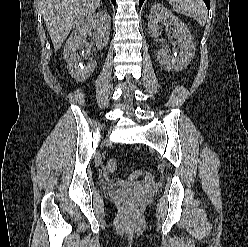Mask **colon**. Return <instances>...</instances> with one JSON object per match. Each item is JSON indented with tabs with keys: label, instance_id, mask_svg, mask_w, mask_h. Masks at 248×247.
<instances>
[{
	"label": "colon",
	"instance_id": "obj_1",
	"mask_svg": "<svg viewBox=\"0 0 248 247\" xmlns=\"http://www.w3.org/2000/svg\"><path fill=\"white\" fill-rule=\"evenodd\" d=\"M117 167H118V162H117L116 159L111 158V159L108 160V162H107V169L109 171H115L117 169ZM142 175L145 176V178L148 179V180H152L153 179V174L148 173V172L144 173V172H141V171H138V170L137 171H133L130 174V177L132 179H135V178H138V177H140ZM124 206L126 208H128V209H131V208L134 207V203H133L132 200H125L124 201Z\"/></svg>",
	"mask_w": 248,
	"mask_h": 247
}]
</instances>
